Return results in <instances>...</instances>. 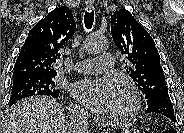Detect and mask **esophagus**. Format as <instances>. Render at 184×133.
I'll return each mask as SVG.
<instances>
[{"instance_id": "esophagus-1", "label": "esophagus", "mask_w": 184, "mask_h": 133, "mask_svg": "<svg viewBox=\"0 0 184 133\" xmlns=\"http://www.w3.org/2000/svg\"><path fill=\"white\" fill-rule=\"evenodd\" d=\"M85 4H86V8L88 10H91L94 7V1L93 0H87V1H85Z\"/></svg>"}]
</instances>
